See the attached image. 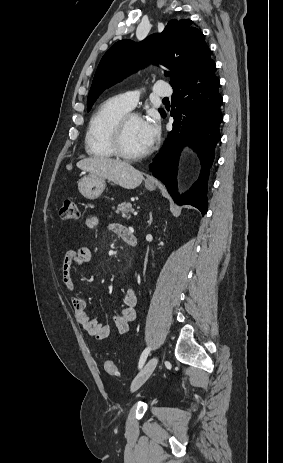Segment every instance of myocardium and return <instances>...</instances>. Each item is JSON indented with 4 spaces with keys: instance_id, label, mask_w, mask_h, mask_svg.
<instances>
[{
    "instance_id": "myocardium-1",
    "label": "myocardium",
    "mask_w": 283,
    "mask_h": 463,
    "mask_svg": "<svg viewBox=\"0 0 283 463\" xmlns=\"http://www.w3.org/2000/svg\"><path fill=\"white\" fill-rule=\"evenodd\" d=\"M131 118H137L141 120V117L135 113H126L123 116H121L112 129L110 143L112 150L116 156L125 160H141L151 153L150 149L142 153L133 154L126 151L123 145L125 128L128 121Z\"/></svg>"
}]
</instances>
